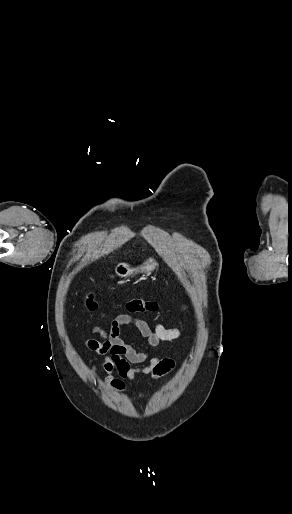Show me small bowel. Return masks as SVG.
Returning a JSON list of instances; mask_svg holds the SVG:
<instances>
[{"mask_svg":"<svg viewBox=\"0 0 292 514\" xmlns=\"http://www.w3.org/2000/svg\"><path fill=\"white\" fill-rule=\"evenodd\" d=\"M134 326L147 340L145 350H136L121 337V330L125 326ZM91 335L98 336L87 338L84 345L103 358L102 369L106 376L102 379L106 387L114 390H123L126 382H134L137 376L147 375L152 380H159L169 374L176 367L174 359L153 355V351L161 342L178 339L182 332L176 327H166L157 324L151 328L144 320L129 314H120L114 318L108 330L101 326H94ZM135 365V366H133ZM117 372L118 377L113 375ZM89 373L93 381H101L96 364H91Z\"/></svg>","mask_w":292,"mask_h":514,"instance_id":"c3829d8e","label":"small bowel"}]
</instances>
